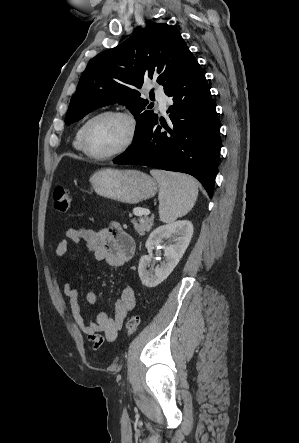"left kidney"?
I'll list each match as a JSON object with an SVG mask.
<instances>
[{"instance_id":"left-kidney-1","label":"left kidney","mask_w":299,"mask_h":443,"mask_svg":"<svg viewBox=\"0 0 299 443\" xmlns=\"http://www.w3.org/2000/svg\"><path fill=\"white\" fill-rule=\"evenodd\" d=\"M193 235V225L188 220H179L156 228L148 237L145 247L149 250L164 240L165 261L155 270H147L152 257L145 255L139 261L138 273L143 285L155 287L164 281L177 266Z\"/></svg>"}]
</instances>
